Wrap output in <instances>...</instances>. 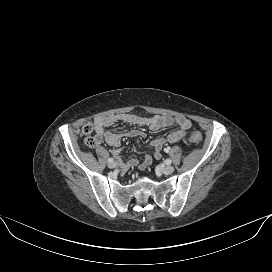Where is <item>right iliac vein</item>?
<instances>
[{
  "label": "right iliac vein",
  "instance_id": "1",
  "mask_svg": "<svg viewBox=\"0 0 272 272\" xmlns=\"http://www.w3.org/2000/svg\"><path fill=\"white\" fill-rule=\"evenodd\" d=\"M108 167L109 168H115L116 167V163L115 162L108 163Z\"/></svg>",
  "mask_w": 272,
  "mask_h": 272
}]
</instances>
